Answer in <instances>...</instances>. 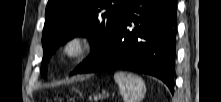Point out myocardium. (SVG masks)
Wrapping results in <instances>:
<instances>
[{"label": "myocardium", "mask_w": 221, "mask_h": 102, "mask_svg": "<svg viewBox=\"0 0 221 102\" xmlns=\"http://www.w3.org/2000/svg\"><path fill=\"white\" fill-rule=\"evenodd\" d=\"M95 39L86 32H77L69 36L63 43L64 57L72 62L82 61L94 50Z\"/></svg>", "instance_id": "1"}]
</instances>
